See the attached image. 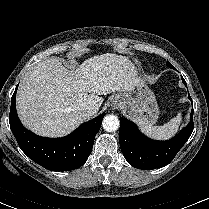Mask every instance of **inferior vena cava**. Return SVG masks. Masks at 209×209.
<instances>
[{"mask_svg": "<svg viewBox=\"0 0 209 209\" xmlns=\"http://www.w3.org/2000/svg\"><path fill=\"white\" fill-rule=\"evenodd\" d=\"M97 112V109L93 106H87L85 108V113L88 115V116H92L94 115L95 113Z\"/></svg>", "mask_w": 209, "mask_h": 209, "instance_id": "1", "label": "inferior vena cava"}]
</instances>
